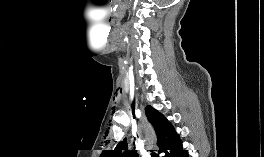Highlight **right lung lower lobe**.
Returning <instances> with one entry per match:
<instances>
[{
  "label": "right lung lower lobe",
  "mask_w": 264,
  "mask_h": 157,
  "mask_svg": "<svg viewBox=\"0 0 264 157\" xmlns=\"http://www.w3.org/2000/svg\"><path fill=\"white\" fill-rule=\"evenodd\" d=\"M163 157H189L188 151L183 149L182 142L178 139L168 150Z\"/></svg>",
  "instance_id": "obj_1"
}]
</instances>
